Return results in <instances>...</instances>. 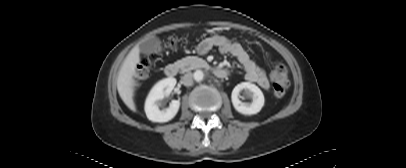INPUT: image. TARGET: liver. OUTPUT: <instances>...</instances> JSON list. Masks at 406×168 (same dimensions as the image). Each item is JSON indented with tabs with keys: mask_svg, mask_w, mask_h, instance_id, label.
<instances>
[{
	"mask_svg": "<svg viewBox=\"0 0 406 168\" xmlns=\"http://www.w3.org/2000/svg\"><path fill=\"white\" fill-rule=\"evenodd\" d=\"M139 62V48L134 47L126 56L117 77L118 93L126 106L133 112H136V105L133 99L135 91L134 74Z\"/></svg>",
	"mask_w": 406,
	"mask_h": 168,
	"instance_id": "6515ba94",
	"label": "liver"
}]
</instances>
